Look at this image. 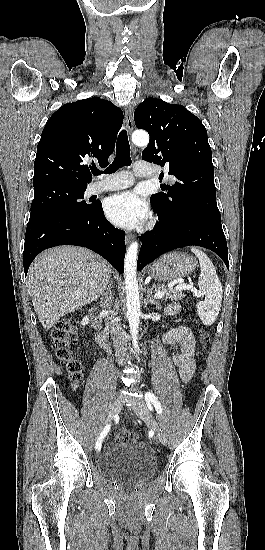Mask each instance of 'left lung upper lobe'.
I'll use <instances>...</instances> for the list:
<instances>
[{"instance_id":"left-lung-upper-lobe-1","label":"left lung upper lobe","mask_w":265,"mask_h":550,"mask_svg":"<svg viewBox=\"0 0 265 550\" xmlns=\"http://www.w3.org/2000/svg\"><path fill=\"white\" fill-rule=\"evenodd\" d=\"M135 125L145 129L150 142L142 159L167 167L173 182L151 196L159 218L184 212L221 220L216 203L212 152L202 122L185 107L161 99H145L135 110Z\"/></svg>"}]
</instances>
